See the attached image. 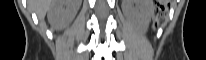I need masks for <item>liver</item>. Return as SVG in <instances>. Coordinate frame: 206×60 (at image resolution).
Listing matches in <instances>:
<instances>
[{
	"label": "liver",
	"instance_id": "6515ba94",
	"mask_svg": "<svg viewBox=\"0 0 206 60\" xmlns=\"http://www.w3.org/2000/svg\"><path fill=\"white\" fill-rule=\"evenodd\" d=\"M28 5L41 20L49 9L53 8V15L48 17L49 23L54 29L61 30L74 18L81 0H29Z\"/></svg>",
	"mask_w": 206,
	"mask_h": 60
}]
</instances>
